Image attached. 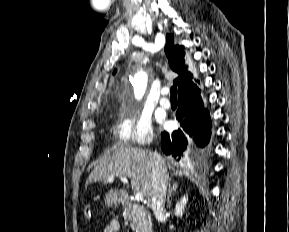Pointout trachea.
<instances>
[{"label": "trachea", "mask_w": 289, "mask_h": 232, "mask_svg": "<svg viewBox=\"0 0 289 232\" xmlns=\"http://www.w3.org/2000/svg\"><path fill=\"white\" fill-rule=\"evenodd\" d=\"M177 88L176 86H172L170 89V93H171V99H177Z\"/></svg>", "instance_id": "obj_1"}]
</instances>
